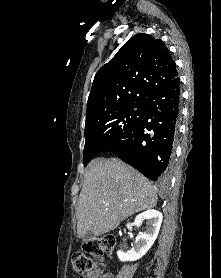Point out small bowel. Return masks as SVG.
Segmentation results:
<instances>
[{"mask_svg":"<svg viewBox=\"0 0 221 278\" xmlns=\"http://www.w3.org/2000/svg\"><path fill=\"white\" fill-rule=\"evenodd\" d=\"M94 278H114L110 272H101L99 275Z\"/></svg>","mask_w":221,"mask_h":278,"instance_id":"c3829d8e","label":"small bowel"}]
</instances>
